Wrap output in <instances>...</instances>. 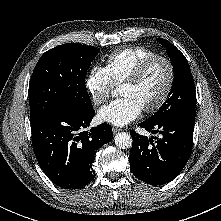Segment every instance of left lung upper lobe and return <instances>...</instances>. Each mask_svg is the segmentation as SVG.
<instances>
[{
  "label": "left lung upper lobe",
  "mask_w": 221,
  "mask_h": 221,
  "mask_svg": "<svg viewBox=\"0 0 221 221\" xmlns=\"http://www.w3.org/2000/svg\"><path fill=\"white\" fill-rule=\"evenodd\" d=\"M166 47L174 69V84L168 99L147 121L161 122L175 116L195 118L196 93L191 70L185 56L167 40L158 38Z\"/></svg>",
  "instance_id": "obj_1"
}]
</instances>
